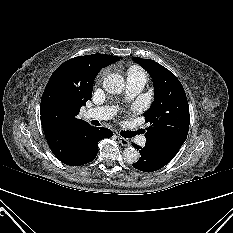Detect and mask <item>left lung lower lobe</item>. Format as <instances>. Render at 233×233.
Listing matches in <instances>:
<instances>
[{"label": "left lung lower lobe", "mask_w": 233, "mask_h": 233, "mask_svg": "<svg viewBox=\"0 0 233 233\" xmlns=\"http://www.w3.org/2000/svg\"><path fill=\"white\" fill-rule=\"evenodd\" d=\"M133 147L139 150L141 155L139 160L133 164V167L140 171H156L165 166L172 159L147 144H145L143 148L136 144H134Z\"/></svg>", "instance_id": "0a47b994"}]
</instances>
